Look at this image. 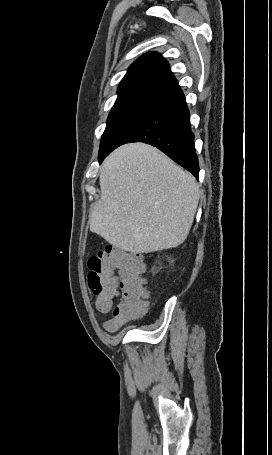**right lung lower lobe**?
Masks as SVG:
<instances>
[{
    "label": "right lung lower lobe",
    "mask_w": 272,
    "mask_h": 455,
    "mask_svg": "<svg viewBox=\"0 0 272 455\" xmlns=\"http://www.w3.org/2000/svg\"><path fill=\"white\" fill-rule=\"evenodd\" d=\"M129 142H144L156 146L198 179L199 163L184 95L165 104L129 129L99 159V162L101 163L115 148Z\"/></svg>",
    "instance_id": "obj_1"
}]
</instances>
